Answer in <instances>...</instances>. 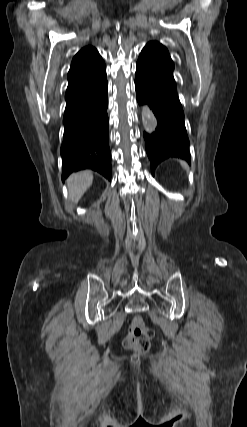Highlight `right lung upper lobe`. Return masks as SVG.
<instances>
[{
  "instance_id": "cb5924a9",
  "label": "right lung upper lobe",
  "mask_w": 247,
  "mask_h": 427,
  "mask_svg": "<svg viewBox=\"0 0 247 427\" xmlns=\"http://www.w3.org/2000/svg\"><path fill=\"white\" fill-rule=\"evenodd\" d=\"M105 67L98 51L93 47L82 48L73 58L68 73V86L84 81Z\"/></svg>"
}]
</instances>
